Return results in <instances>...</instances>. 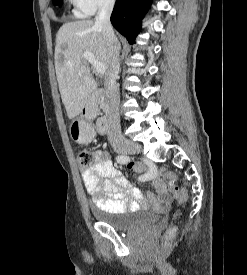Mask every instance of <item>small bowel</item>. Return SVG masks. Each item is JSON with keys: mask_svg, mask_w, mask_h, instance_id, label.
<instances>
[{"mask_svg": "<svg viewBox=\"0 0 247 275\" xmlns=\"http://www.w3.org/2000/svg\"><path fill=\"white\" fill-rule=\"evenodd\" d=\"M132 169L143 173L146 166L138 163ZM164 173V170L160 169L158 177L152 179L158 197L149 194L148 199H145L141 191L133 186L114 166L108 152L98 150L95 152L94 164L82 172V179L96 207L110 212H126L134 211L146 202L160 209H165L170 205L172 201L171 193L161 179ZM126 193L131 198L127 199Z\"/></svg>", "mask_w": 247, "mask_h": 275, "instance_id": "c3829d8e", "label": "small bowel"}]
</instances>
